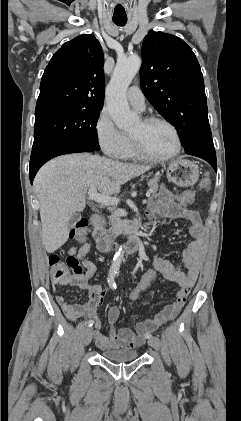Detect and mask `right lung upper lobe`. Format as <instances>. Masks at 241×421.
<instances>
[{"label":"right lung upper lobe","mask_w":241,"mask_h":421,"mask_svg":"<svg viewBox=\"0 0 241 421\" xmlns=\"http://www.w3.org/2000/svg\"><path fill=\"white\" fill-rule=\"evenodd\" d=\"M103 64L101 45L93 35L83 34L64 43L44 71L36 109L51 106L102 108Z\"/></svg>","instance_id":"cb5924a9"}]
</instances>
